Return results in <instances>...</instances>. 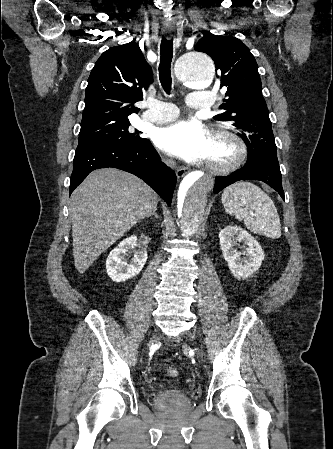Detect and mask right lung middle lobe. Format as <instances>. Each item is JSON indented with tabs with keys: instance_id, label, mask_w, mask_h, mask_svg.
<instances>
[{
	"instance_id": "obj_1",
	"label": "right lung middle lobe",
	"mask_w": 333,
	"mask_h": 449,
	"mask_svg": "<svg viewBox=\"0 0 333 449\" xmlns=\"http://www.w3.org/2000/svg\"><path fill=\"white\" fill-rule=\"evenodd\" d=\"M129 120L104 122L81 127L78 146L94 144H121L126 146H140L145 138L140 132L129 131Z\"/></svg>"
}]
</instances>
